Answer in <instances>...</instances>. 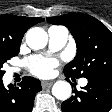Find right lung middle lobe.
I'll return each mask as SVG.
<instances>
[{
	"label": "right lung middle lobe",
	"mask_w": 112,
	"mask_h": 112,
	"mask_svg": "<svg viewBox=\"0 0 112 112\" xmlns=\"http://www.w3.org/2000/svg\"><path fill=\"white\" fill-rule=\"evenodd\" d=\"M19 43H3L0 42V79H2L5 71L2 69L3 64L6 63L13 56L19 53Z\"/></svg>",
	"instance_id": "dd1d6c3e"
}]
</instances>
